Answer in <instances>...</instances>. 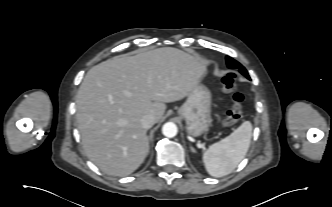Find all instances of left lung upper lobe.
<instances>
[{"mask_svg":"<svg viewBox=\"0 0 332 207\" xmlns=\"http://www.w3.org/2000/svg\"><path fill=\"white\" fill-rule=\"evenodd\" d=\"M226 61H227V66L230 69H236L238 70L241 74H243L245 77H247L248 79H250L246 69L236 60L232 59L229 56H226Z\"/></svg>","mask_w":332,"mask_h":207,"instance_id":"1","label":"left lung upper lobe"}]
</instances>
